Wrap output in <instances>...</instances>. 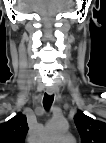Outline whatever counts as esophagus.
Returning <instances> with one entry per match:
<instances>
[{"label": "esophagus", "instance_id": "34e87169", "mask_svg": "<svg viewBox=\"0 0 106 143\" xmlns=\"http://www.w3.org/2000/svg\"><path fill=\"white\" fill-rule=\"evenodd\" d=\"M46 93L48 94V95H54V97L57 99L58 98V93H57V91H56V89L55 88H53V87H48L47 89H46Z\"/></svg>", "mask_w": 106, "mask_h": 143}]
</instances>
